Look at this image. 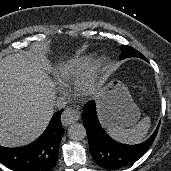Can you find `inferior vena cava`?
I'll return each instance as SVG.
<instances>
[{"instance_id":"obj_1","label":"inferior vena cava","mask_w":171,"mask_h":171,"mask_svg":"<svg viewBox=\"0 0 171 171\" xmlns=\"http://www.w3.org/2000/svg\"><path fill=\"white\" fill-rule=\"evenodd\" d=\"M66 106V102L63 98H58L56 101H55V107L58 108V109H62Z\"/></svg>"}]
</instances>
